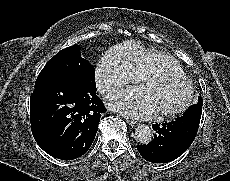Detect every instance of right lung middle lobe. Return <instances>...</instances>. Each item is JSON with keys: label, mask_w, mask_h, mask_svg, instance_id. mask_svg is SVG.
<instances>
[{"label": "right lung middle lobe", "mask_w": 230, "mask_h": 181, "mask_svg": "<svg viewBox=\"0 0 230 181\" xmlns=\"http://www.w3.org/2000/svg\"><path fill=\"white\" fill-rule=\"evenodd\" d=\"M46 79H74L95 87V68L81 57L80 46L73 45L59 51L38 75L36 82Z\"/></svg>", "instance_id": "dd1d6c3e"}]
</instances>
